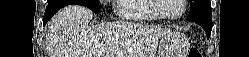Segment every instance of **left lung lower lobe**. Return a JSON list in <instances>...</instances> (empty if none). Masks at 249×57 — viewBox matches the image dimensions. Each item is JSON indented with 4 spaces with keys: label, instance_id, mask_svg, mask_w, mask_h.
Here are the masks:
<instances>
[{
    "label": "left lung lower lobe",
    "instance_id": "1",
    "mask_svg": "<svg viewBox=\"0 0 249 57\" xmlns=\"http://www.w3.org/2000/svg\"><path fill=\"white\" fill-rule=\"evenodd\" d=\"M196 23H198L199 25H201L204 30L206 31V35L209 38L210 34H211V30H212V24L210 20H204V19H197V20H192Z\"/></svg>",
    "mask_w": 249,
    "mask_h": 57
}]
</instances>
